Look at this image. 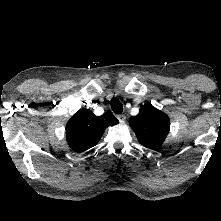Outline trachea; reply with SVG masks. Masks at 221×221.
I'll list each match as a JSON object with an SVG mask.
<instances>
[{
	"label": "trachea",
	"instance_id": "1",
	"mask_svg": "<svg viewBox=\"0 0 221 221\" xmlns=\"http://www.w3.org/2000/svg\"><path fill=\"white\" fill-rule=\"evenodd\" d=\"M111 109L116 114H120L123 112V105L119 99L113 98L111 100Z\"/></svg>",
	"mask_w": 221,
	"mask_h": 221
}]
</instances>
